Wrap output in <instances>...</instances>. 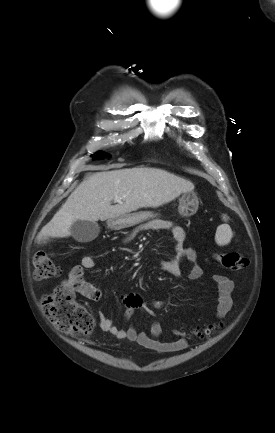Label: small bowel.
Segmentation results:
<instances>
[{
  "label": "small bowel",
  "mask_w": 275,
  "mask_h": 433,
  "mask_svg": "<svg viewBox=\"0 0 275 433\" xmlns=\"http://www.w3.org/2000/svg\"><path fill=\"white\" fill-rule=\"evenodd\" d=\"M153 227V226H151ZM158 228L167 229L170 231L175 242V255L171 260L161 263L160 269L170 275H180L181 265L183 261L190 264L188 278L196 280L203 275V269L197 261V252L194 248L185 247V232L182 227L172 225L168 222L162 223ZM132 236L126 238L129 241ZM96 266L95 259L90 255L82 256L80 263L75 265L69 272L63 284L72 288L75 292L83 297L99 301L101 299V291L93 283L87 281L84 277L85 270L92 269ZM214 283L218 289L217 299V317L223 318L228 314L232 307V292L234 289L233 281L226 275L214 274L212 276ZM123 302L127 309L124 315L125 320H132L137 311L152 315L153 312L149 304L145 301L142 295L132 293L123 297ZM97 318L101 330L107 332L118 339L135 342L140 346L150 349L158 353H171L184 350L188 347V342L184 337V333L179 330H174V335L177 339L174 341H161L159 337L162 333L161 325L157 321L150 324V334L143 331H138L133 325L128 329H119L111 319L103 313L98 312Z\"/></svg>",
  "instance_id": "obj_1"
}]
</instances>
